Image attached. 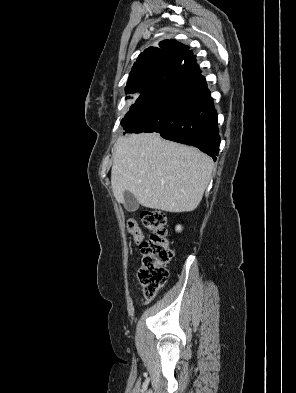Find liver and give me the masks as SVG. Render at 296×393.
Listing matches in <instances>:
<instances>
[{"mask_svg": "<svg viewBox=\"0 0 296 393\" xmlns=\"http://www.w3.org/2000/svg\"><path fill=\"white\" fill-rule=\"evenodd\" d=\"M214 169L213 160L194 147L157 133L119 137L111 170L114 197L131 192L146 208L190 212L197 208Z\"/></svg>", "mask_w": 296, "mask_h": 393, "instance_id": "liver-1", "label": "liver"}]
</instances>
